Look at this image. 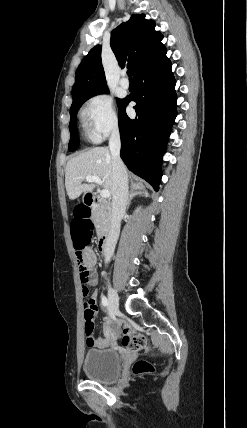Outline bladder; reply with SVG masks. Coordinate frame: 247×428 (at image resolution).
Wrapping results in <instances>:
<instances>
[{"label": "bladder", "instance_id": "1", "mask_svg": "<svg viewBox=\"0 0 247 428\" xmlns=\"http://www.w3.org/2000/svg\"><path fill=\"white\" fill-rule=\"evenodd\" d=\"M122 363L114 349H90L83 361L85 375L98 382L114 381L121 373Z\"/></svg>", "mask_w": 247, "mask_h": 428}]
</instances>
